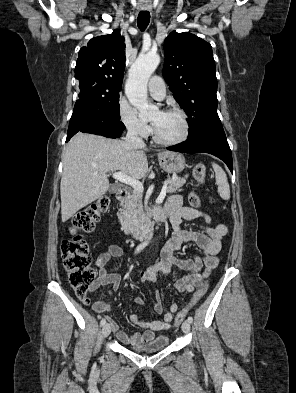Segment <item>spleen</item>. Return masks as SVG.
<instances>
[{"mask_svg":"<svg viewBox=\"0 0 296 393\" xmlns=\"http://www.w3.org/2000/svg\"><path fill=\"white\" fill-rule=\"evenodd\" d=\"M212 167L215 172V179H216V184L218 186V193L220 197L224 200L230 199V187H229L226 173L216 163H212Z\"/></svg>","mask_w":296,"mask_h":393,"instance_id":"spleen-1","label":"spleen"}]
</instances>
